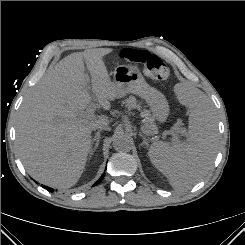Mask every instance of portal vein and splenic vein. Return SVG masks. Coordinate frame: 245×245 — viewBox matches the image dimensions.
Here are the masks:
<instances>
[{"label": "portal vein and splenic vein", "mask_w": 245, "mask_h": 245, "mask_svg": "<svg viewBox=\"0 0 245 245\" xmlns=\"http://www.w3.org/2000/svg\"><path fill=\"white\" fill-rule=\"evenodd\" d=\"M95 109H96V104H95V103H92V104L89 105V107L87 108L86 112H87V114H88L89 116L93 117V116H94L93 113H94ZM142 131H143L144 133H146V134H149V132L146 131V130H144L143 127H142ZM171 134H172V136H173L172 141H173V142H176V141H177V133L172 132Z\"/></svg>", "instance_id": "18ae733b"}]
</instances>
